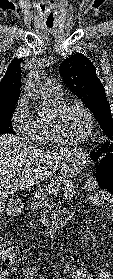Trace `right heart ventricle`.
<instances>
[{
	"instance_id": "right-heart-ventricle-1",
	"label": "right heart ventricle",
	"mask_w": 113,
	"mask_h": 279,
	"mask_svg": "<svg viewBox=\"0 0 113 279\" xmlns=\"http://www.w3.org/2000/svg\"><path fill=\"white\" fill-rule=\"evenodd\" d=\"M46 99L51 105L58 102L59 97L46 94ZM28 140L36 145H49L56 142L48 124V118L42 115L33 117V125L28 135Z\"/></svg>"
}]
</instances>
